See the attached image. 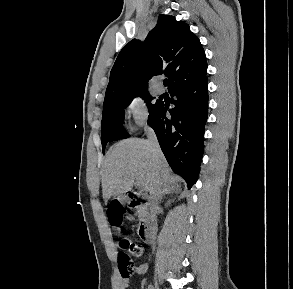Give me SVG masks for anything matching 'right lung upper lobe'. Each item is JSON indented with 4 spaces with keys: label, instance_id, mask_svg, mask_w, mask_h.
<instances>
[{
    "label": "right lung upper lobe",
    "instance_id": "cb5924a9",
    "mask_svg": "<svg viewBox=\"0 0 293 289\" xmlns=\"http://www.w3.org/2000/svg\"><path fill=\"white\" fill-rule=\"evenodd\" d=\"M205 52L184 21L160 15L144 43L133 39L123 47L110 72L104 103L122 96L148 92V80L164 74L168 90L206 76Z\"/></svg>",
    "mask_w": 293,
    "mask_h": 289
}]
</instances>
